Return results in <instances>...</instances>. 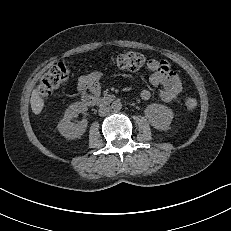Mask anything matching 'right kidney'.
Instances as JSON below:
<instances>
[{
	"instance_id": "obj_1",
	"label": "right kidney",
	"mask_w": 231,
	"mask_h": 231,
	"mask_svg": "<svg viewBox=\"0 0 231 231\" xmlns=\"http://www.w3.org/2000/svg\"><path fill=\"white\" fill-rule=\"evenodd\" d=\"M87 106L82 102H76L69 106L65 111L63 119L58 124V130L62 136L67 139H75L81 137L87 128V121L82 120L79 124L73 123L71 120L79 113H85Z\"/></svg>"
}]
</instances>
